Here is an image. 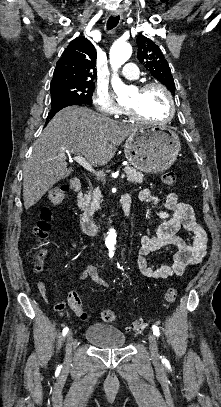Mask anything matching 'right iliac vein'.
I'll list each match as a JSON object with an SVG mask.
<instances>
[{
	"instance_id": "obj_1",
	"label": "right iliac vein",
	"mask_w": 221,
	"mask_h": 407,
	"mask_svg": "<svg viewBox=\"0 0 221 407\" xmlns=\"http://www.w3.org/2000/svg\"><path fill=\"white\" fill-rule=\"evenodd\" d=\"M72 346H73V333L69 332L66 339V361H71L72 355Z\"/></svg>"
}]
</instances>
